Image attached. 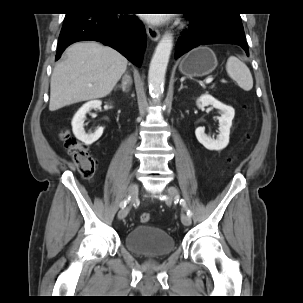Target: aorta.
I'll return each instance as SVG.
<instances>
[{
	"mask_svg": "<svg viewBox=\"0 0 303 303\" xmlns=\"http://www.w3.org/2000/svg\"><path fill=\"white\" fill-rule=\"evenodd\" d=\"M173 47V36L165 33L159 41L148 71V84L150 93L154 97H160L164 90L165 74Z\"/></svg>",
	"mask_w": 303,
	"mask_h": 303,
	"instance_id": "1",
	"label": "aorta"
}]
</instances>
